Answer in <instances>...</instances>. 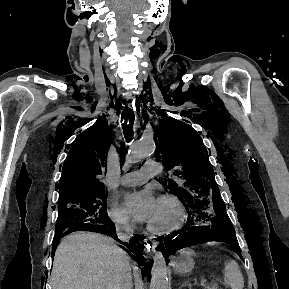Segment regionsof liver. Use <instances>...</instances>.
I'll return each mask as SVG.
<instances>
[{
  "label": "liver",
  "instance_id": "obj_1",
  "mask_svg": "<svg viewBox=\"0 0 289 289\" xmlns=\"http://www.w3.org/2000/svg\"><path fill=\"white\" fill-rule=\"evenodd\" d=\"M127 263V253L106 236L68 235L55 252L52 289H118Z\"/></svg>",
  "mask_w": 289,
  "mask_h": 289
}]
</instances>
